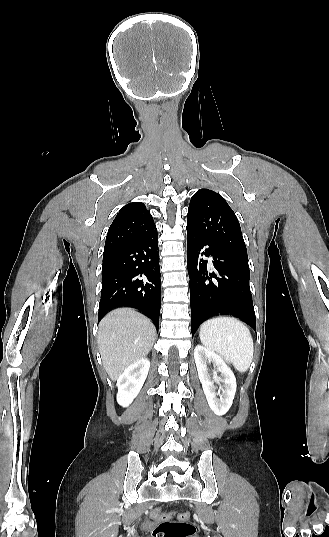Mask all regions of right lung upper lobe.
Instances as JSON below:
<instances>
[{
	"mask_svg": "<svg viewBox=\"0 0 329 537\" xmlns=\"http://www.w3.org/2000/svg\"><path fill=\"white\" fill-rule=\"evenodd\" d=\"M156 226L150 212L140 202L124 206L111 224L104 249L126 245L150 234Z\"/></svg>",
	"mask_w": 329,
	"mask_h": 537,
	"instance_id": "obj_1",
	"label": "right lung upper lobe"
}]
</instances>
